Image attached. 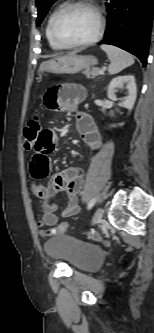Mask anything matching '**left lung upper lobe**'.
<instances>
[{
    "mask_svg": "<svg viewBox=\"0 0 154 333\" xmlns=\"http://www.w3.org/2000/svg\"><path fill=\"white\" fill-rule=\"evenodd\" d=\"M55 1L56 0H36V6L38 8L37 26L41 24L49 8Z\"/></svg>",
    "mask_w": 154,
    "mask_h": 333,
    "instance_id": "5c2ea615",
    "label": "left lung upper lobe"
}]
</instances>
